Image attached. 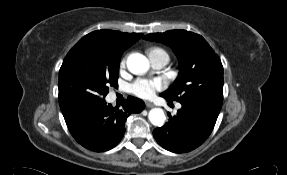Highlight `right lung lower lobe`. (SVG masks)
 I'll list each match as a JSON object with an SVG mask.
<instances>
[{
  "mask_svg": "<svg viewBox=\"0 0 287 175\" xmlns=\"http://www.w3.org/2000/svg\"><path fill=\"white\" fill-rule=\"evenodd\" d=\"M144 107L141 99L130 96L121 108L107 105L101 99L96 104L74 107L62 113L70 133L79 144L91 151L103 152L121 141L129 114L139 113Z\"/></svg>",
  "mask_w": 287,
  "mask_h": 175,
  "instance_id": "1",
  "label": "right lung lower lobe"
}]
</instances>
